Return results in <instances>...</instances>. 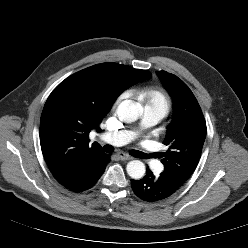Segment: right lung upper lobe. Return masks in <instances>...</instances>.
<instances>
[{
    "mask_svg": "<svg viewBox=\"0 0 248 248\" xmlns=\"http://www.w3.org/2000/svg\"><path fill=\"white\" fill-rule=\"evenodd\" d=\"M127 67L102 63L86 68L66 78L48 97L40 120V143L59 183L67 182L87 158L104 153L98 143L89 145L88 135L93 128L100 131L98 125L116 98L136 82L124 79Z\"/></svg>",
    "mask_w": 248,
    "mask_h": 248,
    "instance_id": "obj_1",
    "label": "right lung upper lobe"
}]
</instances>
